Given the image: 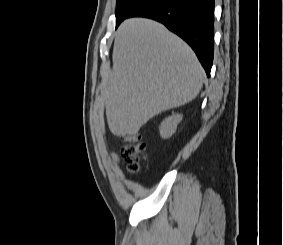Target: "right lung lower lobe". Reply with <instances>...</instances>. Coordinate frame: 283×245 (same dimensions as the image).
<instances>
[{
  "mask_svg": "<svg viewBox=\"0 0 283 245\" xmlns=\"http://www.w3.org/2000/svg\"><path fill=\"white\" fill-rule=\"evenodd\" d=\"M214 4V0H147L128 17H147L163 23L192 47L210 76L214 54Z\"/></svg>",
  "mask_w": 283,
  "mask_h": 245,
  "instance_id": "1",
  "label": "right lung lower lobe"
}]
</instances>
